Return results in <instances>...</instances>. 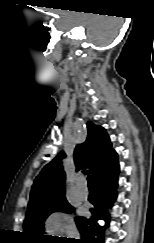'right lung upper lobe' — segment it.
<instances>
[{
  "instance_id": "right-lung-upper-lobe-1",
  "label": "right lung upper lobe",
  "mask_w": 154,
  "mask_h": 243,
  "mask_svg": "<svg viewBox=\"0 0 154 243\" xmlns=\"http://www.w3.org/2000/svg\"><path fill=\"white\" fill-rule=\"evenodd\" d=\"M87 131L86 141L75 148L74 162L77 170L89 167L87 173H91L95 181L118 166V156L112 149V143L103 127L88 122ZM64 157L65 154L60 153L47 163L36 177L31 189L28 208L65 197L66 177L61 161Z\"/></svg>"
}]
</instances>
